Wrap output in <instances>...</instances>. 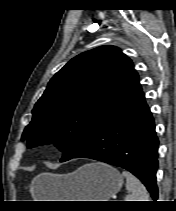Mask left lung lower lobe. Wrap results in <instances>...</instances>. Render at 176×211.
I'll use <instances>...</instances> for the list:
<instances>
[{
    "label": "left lung lower lobe",
    "instance_id": "1",
    "mask_svg": "<svg viewBox=\"0 0 176 211\" xmlns=\"http://www.w3.org/2000/svg\"><path fill=\"white\" fill-rule=\"evenodd\" d=\"M158 145L154 119L142 93L111 115L73 158H91L125 168L156 200Z\"/></svg>",
    "mask_w": 176,
    "mask_h": 211
}]
</instances>
